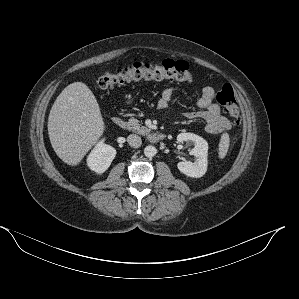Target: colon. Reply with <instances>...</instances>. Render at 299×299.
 Segmentation results:
<instances>
[{
  "instance_id": "5ec220e1",
  "label": "colon",
  "mask_w": 299,
  "mask_h": 299,
  "mask_svg": "<svg viewBox=\"0 0 299 299\" xmlns=\"http://www.w3.org/2000/svg\"><path fill=\"white\" fill-rule=\"evenodd\" d=\"M193 78L189 64L182 60H165L161 64L150 65L134 63L115 72H107L95 80V86L108 89L134 81H191ZM216 100L225 112L234 120L239 116V107L234 90L230 84H224L216 94Z\"/></svg>"
}]
</instances>
